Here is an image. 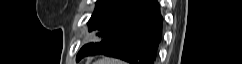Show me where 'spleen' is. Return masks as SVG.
Segmentation results:
<instances>
[{
  "label": "spleen",
  "instance_id": "obj_1",
  "mask_svg": "<svg viewBox=\"0 0 242 64\" xmlns=\"http://www.w3.org/2000/svg\"><path fill=\"white\" fill-rule=\"evenodd\" d=\"M96 64H124V63L119 60L107 58V59L98 60Z\"/></svg>",
  "mask_w": 242,
  "mask_h": 64
}]
</instances>
